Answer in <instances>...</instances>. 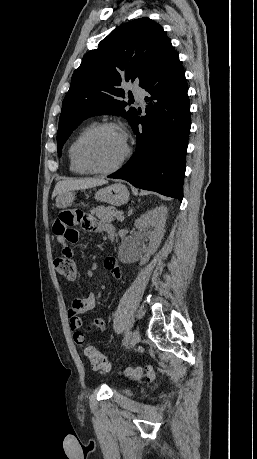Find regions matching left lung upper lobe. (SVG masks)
<instances>
[{
  "instance_id": "left-lung-upper-lobe-1",
  "label": "left lung upper lobe",
  "mask_w": 257,
  "mask_h": 459,
  "mask_svg": "<svg viewBox=\"0 0 257 459\" xmlns=\"http://www.w3.org/2000/svg\"><path fill=\"white\" fill-rule=\"evenodd\" d=\"M163 28L147 17L114 29L88 52L74 72L59 118L58 154L72 131L85 119L97 114L123 116L130 123L135 108L126 110L122 82L139 81L144 87L173 50Z\"/></svg>"
}]
</instances>
